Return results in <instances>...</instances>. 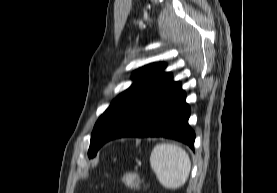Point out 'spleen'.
<instances>
[{
    "mask_svg": "<svg viewBox=\"0 0 277 193\" xmlns=\"http://www.w3.org/2000/svg\"><path fill=\"white\" fill-rule=\"evenodd\" d=\"M150 165L160 184L167 189L184 185L191 170L188 153L174 144H157L151 152Z\"/></svg>",
    "mask_w": 277,
    "mask_h": 193,
    "instance_id": "3e777b00",
    "label": "spleen"
}]
</instances>
